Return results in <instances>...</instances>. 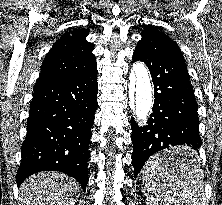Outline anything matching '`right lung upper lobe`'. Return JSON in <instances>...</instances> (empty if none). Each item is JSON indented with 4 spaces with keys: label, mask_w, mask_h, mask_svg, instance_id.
Listing matches in <instances>:
<instances>
[{
    "label": "right lung upper lobe",
    "mask_w": 222,
    "mask_h": 205,
    "mask_svg": "<svg viewBox=\"0 0 222 205\" xmlns=\"http://www.w3.org/2000/svg\"><path fill=\"white\" fill-rule=\"evenodd\" d=\"M88 29H75L58 39L46 55L37 82L71 77L96 66L93 43L86 41ZM36 82V83H37Z\"/></svg>",
    "instance_id": "obj_1"
}]
</instances>
